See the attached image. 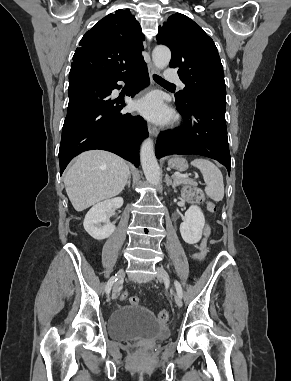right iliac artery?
I'll return each mask as SVG.
<instances>
[{
    "label": "right iliac artery",
    "instance_id": "1",
    "mask_svg": "<svg viewBox=\"0 0 291 381\" xmlns=\"http://www.w3.org/2000/svg\"><path fill=\"white\" fill-rule=\"evenodd\" d=\"M117 281V275L115 274V276H112L108 283H107V286H106V292L109 293L110 290H111V287L113 286V284Z\"/></svg>",
    "mask_w": 291,
    "mask_h": 381
}]
</instances>
